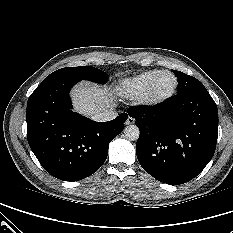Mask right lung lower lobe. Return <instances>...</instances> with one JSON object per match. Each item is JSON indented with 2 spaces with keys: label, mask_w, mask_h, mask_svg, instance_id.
I'll list each match as a JSON object with an SVG mask.
<instances>
[{
  "label": "right lung lower lobe",
  "mask_w": 233,
  "mask_h": 233,
  "mask_svg": "<svg viewBox=\"0 0 233 233\" xmlns=\"http://www.w3.org/2000/svg\"><path fill=\"white\" fill-rule=\"evenodd\" d=\"M80 80L62 78L37 87L27 102V138L43 168L64 181H78L105 162L109 143L128 118L96 122L73 112L69 91Z\"/></svg>",
  "instance_id": "obj_1"
}]
</instances>
